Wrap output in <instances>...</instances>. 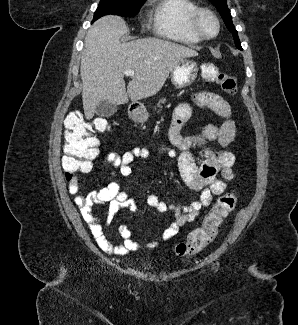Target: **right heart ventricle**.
Here are the masks:
<instances>
[{
    "mask_svg": "<svg viewBox=\"0 0 298 325\" xmlns=\"http://www.w3.org/2000/svg\"><path fill=\"white\" fill-rule=\"evenodd\" d=\"M198 6L186 0H168L155 5L151 11L153 37H170L179 45L195 46L202 41L189 28V19Z\"/></svg>",
    "mask_w": 298,
    "mask_h": 325,
    "instance_id": "1",
    "label": "right heart ventricle"
}]
</instances>
